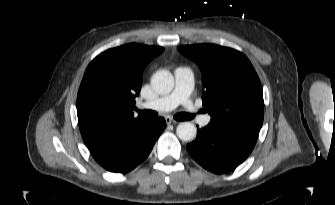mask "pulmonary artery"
<instances>
[{
	"label": "pulmonary artery",
	"instance_id": "1",
	"mask_svg": "<svg viewBox=\"0 0 335 205\" xmlns=\"http://www.w3.org/2000/svg\"><path fill=\"white\" fill-rule=\"evenodd\" d=\"M175 87L170 94L156 100L145 102L142 107L156 111H170L182 105L188 114L193 116L200 125L206 126L211 120L210 115H202L190 100L194 85V74L190 68L178 67L175 72Z\"/></svg>",
	"mask_w": 335,
	"mask_h": 205
}]
</instances>
